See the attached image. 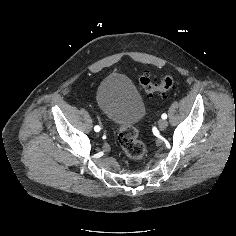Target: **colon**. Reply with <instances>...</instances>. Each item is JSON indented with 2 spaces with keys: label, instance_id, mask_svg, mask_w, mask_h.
I'll list each match as a JSON object with an SVG mask.
<instances>
[{
  "label": "colon",
  "instance_id": "1",
  "mask_svg": "<svg viewBox=\"0 0 236 236\" xmlns=\"http://www.w3.org/2000/svg\"><path fill=\"white\" fill-rule=\"evenodd\" d=\"M139 85L148 93H166L176 88L175 79L170 76H164L160 80L151 78L147 73L140 75L138 79ZM119 144L125 155L132 161L139 162L144 159L146 155V147L138 139L137 130L134 126L120 127L118 133Z\"/></svg>",
  "mask_w": 236,
  "mask_h": 236
}]
</instances>
